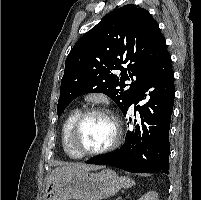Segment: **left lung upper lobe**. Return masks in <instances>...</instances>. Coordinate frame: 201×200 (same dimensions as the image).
Instances as JSON below:
<instances>
[{"instance_id":"left-lung-upper-lobe-1","label":"left lung upper lobe","mask_w":201,"mask_h":200,"mask_svg":"<svg viewBox=\"0 0 201 200\" xmlns=\"http://www.w3.org/2000/svg\"><path fill=\"white\" fill-rule=\"evenodd\" d=\"M166 52L164 36L147 10L128 4L109 13L76 42L66 58L58 117L86 93L106 94L124 114L144 78ZM115 70L121 71L119 76ZM133 79L124 89L125 81Z\"/></svg>"}]
</instances>
